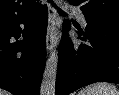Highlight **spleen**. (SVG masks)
<instances>
[{"label": "spleen", "instance_id": "3e777b00", "mask_svg": "<svg viewBox=\"0 0 119 95\" xmlns=\"http://www.w3.org/2000/svg\"><path fill=\"white\" fill-rule=\"evenodd\" d=\"M78 95H119V90L110 83L100 82L85 87Z\"/></svg>", "mask_w": 119, "mask_h": 95}]
</instances>
